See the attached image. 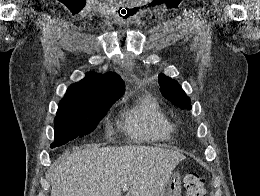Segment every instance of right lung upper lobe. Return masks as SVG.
Wrapping results in <instances>:
<instances>
[{
  "label": "right lung upper lobe",
  "mask_w": 260,
  "mask_h": 196,
  "mask_svg": "<svg viewBox=\"0 0 260 196\" xmlns=\"http://www.w3.org/2000/svg\"><path fill=\"white\" fill-rule=\"evenodd\" d=\"M124 92V82L116 73H87L85 79L68 88L59 106L112 105Z\"/></svg>",
  "instance_id": "right-lung-upper-lobe-1"
}]
</instances>
